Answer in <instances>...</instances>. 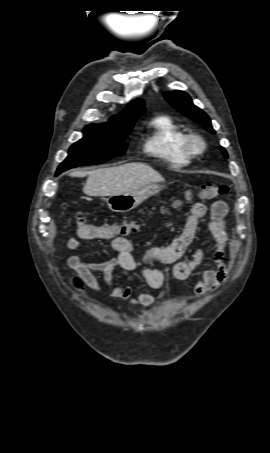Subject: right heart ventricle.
Wrapping results in <instances>:
<instances>
[{"mask_svg":"<svg viewBox=\"0 0 270 453\" xmlns=\"http://www.w3.org/2000/svg\"><path fill=\"white\" fill-rule=\"evenodd\" d=\"M186 132L169 116L160 115L151 121L144 143L145 151L174 167L187 166L192 156L184 148Z\"/></svg>","mask_w":270,"mask_h":453,"instance_id":"obj_1","label":"right heart ventricle"}]
</instances>
